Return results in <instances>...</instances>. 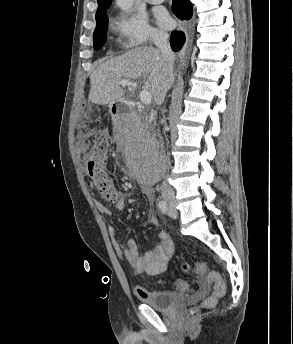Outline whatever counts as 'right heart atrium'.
<instances>
[{"mask_svg":"<svg viewBox=\"0 0 293 344\" xmlns=\"http://www.w3.org/2000/svg\"><path fill=\"white\" fill-rule=\"evenodd\" d=\"M110 27L126 50L142 49L164 38L162 31L150 26L145 16L135 12L116 13L110 21Z\"/></svg>","mask_w":293,"mask_h":344,"instance_id":"1","label":"right heart atrium"}]
</instances>
